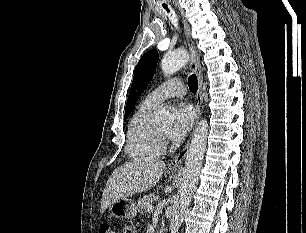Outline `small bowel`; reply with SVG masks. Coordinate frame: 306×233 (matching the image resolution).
Returning a JSON list of instances; mask_svg holds the SVG:
<instances>
[{"label": "small bowel", "instance_id": "obj_1", "mask_svg": "<svg viewBox=\"0 0 306 233\" xmlns=\"http://www.w3.org/2000/svg\"><path fill=\"white\" fill-rule=\"evenodd\" d=\"M129 230H131V233H136V230L132 227H127L124 229L123 233H130Z\"/></svg>", "mask_w": 306, "mask_h": 233}]
</instances>
